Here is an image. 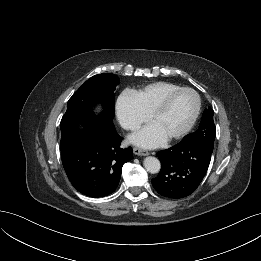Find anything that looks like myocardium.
Here are the masks:
<instances>
[{
    "label": "myocardium",
    "instance_id": "1",
    "mask_svg": "<svg viewBox=\"0 0 261 261\" xmlns=\"http://www.w3.org/2000/svg\"><path fill=\"white\" fill-rule=\"evenodd\" d=\"M183 92H190L195 96L196 98L195 110L188 124L178 133L167 137L168 141H174L184 137L186 134L190 132V130L195 125L201 110V97L198 94V92L189 87H181L177 90H174L163 98V100L158 104V106L152 111V113L149 116V120L152 122L158 115L162 114L167 109V107L169 106L170 102L174 97H176L177 95Z\"/></svg>",
    "mask_w": 261,
    "mask_h": 261
}]
</instances>
